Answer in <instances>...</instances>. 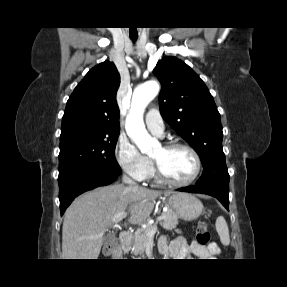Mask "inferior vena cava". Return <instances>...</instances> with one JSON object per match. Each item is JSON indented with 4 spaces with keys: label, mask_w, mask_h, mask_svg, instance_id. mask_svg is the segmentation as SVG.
Returning a JSON list of instances; mask_svg holds the SVG:
<instances>
[{
    "label": "inferior vena cava",
    "mask_w": 287,
    "mask_h": 287,
    "mask_svg": "<svg viewBox=\"0 0 287 287\" xmlns=\"http://www.w3.org/2000/svg\"><path fill=\"white\" fill-rule=\"evenodd\" d=\"M123 182L124 183H127L129 184L131 187H135V188H138V184H136L134 181H132L129 177H127L126 175L123 176L122 178Z\"/></svg>",
    "instance_id": "1"
}]
</instances>
